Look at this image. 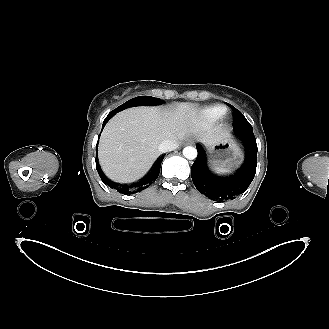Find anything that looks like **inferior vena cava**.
Returning a JSON list of instances; mask_svg holds the SVG:
<instances>
[{"mask_svg": "<svg viewBox=\"0 0 329 329\" xmlns=\"http://www.w3.org/2000/svg\"><path fill=\"white\" fill-rule=\"evenodd\" d=\"M177 147H178L177 141L172 140V139H167L160 143L159 150L161 152H168V151L175 150Z\"/></svg>", "mask_w": 329, "mask_h": 329, "instance_id": "obj_1", "label": "inferior vena cava"}]
</instances>
